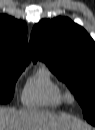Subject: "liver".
Instances as JSON below:
<instances>
[{
  "label": "liver",
  "mask_w": 95,
  "mask_h": 130,
  "mask_svg": "<svg viewBox=\"0 0 95 130\" xmlns=\"http://www.w3.org/2000/svg\"><path fill=\"white\" fill-rule=\"evenodd\" d=\"M87 129L67 114H55L47 110L27 108L0 109V130H80Z\"/></svg>",
  "instance_id": "liver-1"
}]
</instances>
